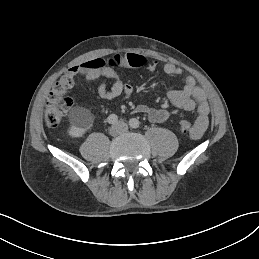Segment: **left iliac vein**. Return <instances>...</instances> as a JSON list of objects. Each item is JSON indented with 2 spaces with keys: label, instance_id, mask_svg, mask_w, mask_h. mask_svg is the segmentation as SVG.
Masks as SVG:
<instances>
[{
  "label": "left iliac vein",
  "instance_id": "left-iliac-vein-1",
  "mask_svg": "<svg viewBox=\"0 0 259 259\" xmlns=\"http://www.w3.org/2000/svg\"><path fill=\"white\" fill-rule=\"evenodd\" d=\"M117 126L120 128L121 133H126L128 131V125L122 121L118 122Z\"/></svg>",
  "mask_w": 259,
  "mask_h": 259
}]
</instances>
